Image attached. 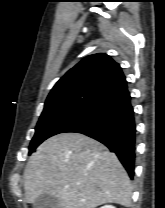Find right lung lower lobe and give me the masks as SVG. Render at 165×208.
<instances>
[{"instance_id":"1","label":"right lung lower lobe","mask_w":165,"mask_h":208,"mask_svg":"<svg viewBox=\"0 0 165 208\" xmlns=\"http://www.w3.org/2000/svg\"><path fill=\"white\" fill-rule=\"evenodd\" d=\"M64 132L81 133L103 143L118 156L133 179L136 125L128 89L98 102L83 119Z\"/></svg>"}]
</instances>
